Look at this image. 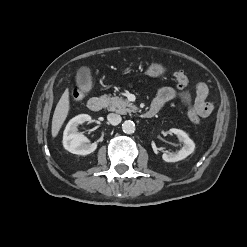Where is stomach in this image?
Masks as SVG:
<instances>
[{
	"instance_id": "0dacf381",
	"label": "stomach",
	"mask_w": 247,
	"mask_h": 247,
	"mask_svg": "<svg viewBox=\"0 0 247 247\" xmlns=\"http://www.w3.org/2000/svg\"><path fill=\"white\" fill-rule=\"evenodd\" d=\"M166 68L158 63H152L146 71V74L150 77L157 78L164 75Z\"/></svg>"
}]
</instances>
